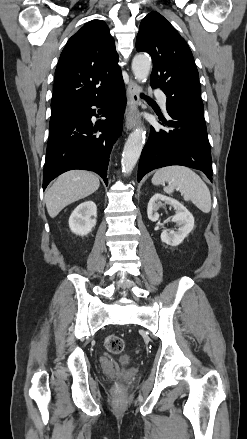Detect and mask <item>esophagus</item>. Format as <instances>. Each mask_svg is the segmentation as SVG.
Wrapping results in <instances>:
<instances>
[{
    "label": "esophagus",
    "instance_id": "34e87169",
    "mask_svg": "<svg viewBox=\"0 0 247 439\" xmlns=\"http://www.w3.org/2000/svg\"><path fill=\"white\" fill-rule=\"evenodd\" d=\"M127 97L128 114L126 117V128L131 130L139 124L138 108L141 105L140 87L133 79H130L127 87Z\"/></svg>",
    "mask_w": 247,
    "mask_h": 439
}]
</instances>
